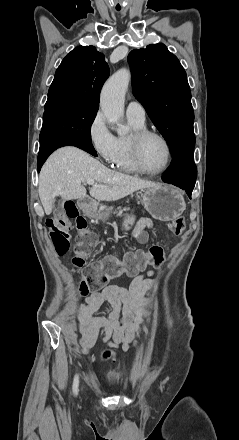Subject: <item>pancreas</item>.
Wrapping results in <instances>:
<instances>
[{
  "label": "pancreas",
  "mask_w": 239,
  "mask_h": 440,
  "mask_svg": "<svg viewBox=\"0 0 239 440\" xmlns=\"http://www.w3.org/2000/svg\"><path fill=\"white\" fill-rule=\"evenodd\" d=\"M128 210H130V208H117L116 212H113V214H116L118 218H123V216H126L124 212H128Z\"/></svg>",
  "instance_id": "obj_1"
}]
</instances>
